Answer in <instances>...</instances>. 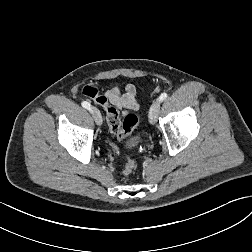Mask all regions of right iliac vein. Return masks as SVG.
<instances>
[{"label": "right iliac vein", "instance_id": "right-iliac-vein-1", "mask_svg": "<svg viewBox=\"0 0 252 252\" xmlns=\"http://www.w3.org/2000/svg\"><path fill=\"white\" fill-rule=\"evenodd\" d=\"M91 112L93 114L94 120L98 126L102 125V116L98 109L92 108Z\"/></svg>", "mask_w": 252, "mask_h": 252}]
</instances>
